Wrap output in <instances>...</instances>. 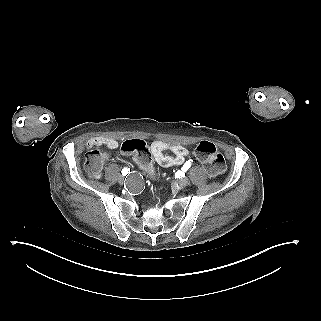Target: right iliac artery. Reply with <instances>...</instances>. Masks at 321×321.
Wrapping results in <instances>:
<instances>
[{
  "mask_svg": "<svg viewBox=\"0 0 321 321\" xmlns=\"http://www.w3.org/2000/svg\"><path fill=\"white\" fill-rule=\"evenodd\" d=\"M129 172H130V169H129V168H124V169L122 170V175L126 176Z\"/></svg>",
  "mask_w": 321,
  "mask_h": 321,
  "instance_id": "obj_1",
  "label": "right iliac artery"
}]
</instances>
